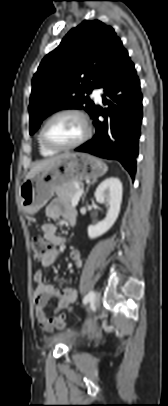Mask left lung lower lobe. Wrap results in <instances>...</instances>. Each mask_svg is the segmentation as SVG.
<instances>
[{
	"label": "left lung lower lobe",
	"mask_w": 168,
	"mask_h": 406,
	"mask_svg": "<svg viewBox=\"0 0 168 406\" xmlns=\"http://www.w3.org/2000/svg\"><path fill=\"white\" fill-rule=\"evenodd\" d=\"M98 88L104 90L103 103L109 107L103 110L96 106L91 116L96 133L75 150L118 160L134 178L142 121V94L134 64L125 49ZM100 115L105 118L103 122L98 120Z\"/></svg>",
	"instance_id": "0a47b994"
}]
</instances>
